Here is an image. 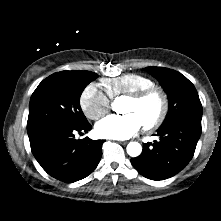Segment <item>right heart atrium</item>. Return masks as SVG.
Wrapping results in <instances>:
<instances>
[{
    "label": "right heart atrium",
    "instance_id": "obj_1",
    "mask_svg": "<svg viewBox=\"0 0 221 221\" xmlns=\"http://www.w3.org/2000/svg\"><path fill=\"white\" fill-rule=\"evenodd\" d=\"M80 108L91 120H98L110 110L109 97L95 83L88 84L81 92Z\"/></svg>",
    "mask_w": 221,
    "mask_h": 221
}]
</instances>
